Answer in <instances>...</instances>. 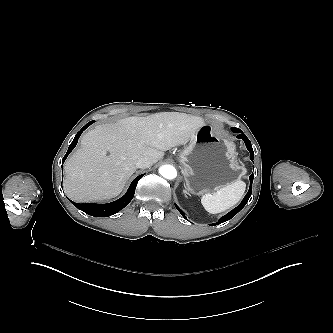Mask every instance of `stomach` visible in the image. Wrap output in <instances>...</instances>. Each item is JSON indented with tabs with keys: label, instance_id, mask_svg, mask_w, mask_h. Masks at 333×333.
<instances>
[{
	"label": "stomach",
	"instance_id": "stomach-1",
	"mask_svg": "<svg viewBox=\"0 0 333 333\" xmlns=\"http://www.w3.org/2000/svg\"><path fill=\"white\" fill-rule=\"evenodd\" d=\"M178 157L186 188L194 195L215 192L246 174L235 144L216 135L209 124L195 132Z\"/></svg>",
	"mask_w": 333,
	"mask_h": 333
}]
</instances>
